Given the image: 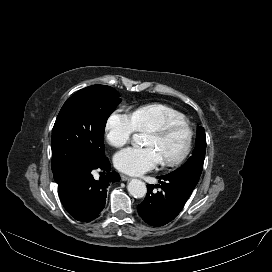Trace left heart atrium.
Instances as JSON below:
<instances>
[{
  "label": "left heart atrium",
  "mask_w": 272,
  "mask_h": 272,
  "mask_svg": "<svg viewBox=\"0 0 272 272\" xmlns=\"http://www.w3.org/2000/svg\"><path fill=\"white\" fill-rule=\"evenodd\" d=\"M161 161L160 154L152 147H129L120 151L114 157L117 169L132 175H140L152 170Z\"/></svg>",
  "instance_id": "1"
}]
</instances>
